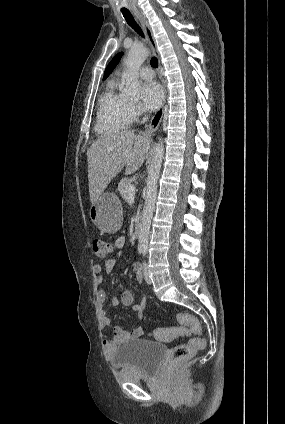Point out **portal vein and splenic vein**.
Returning <instances> with one entry per match:
<instances>
[{
	"mask_svg": "<svg viewBox=\"0 0 285 424\" xmlns=\"http://www.w3.org/2000/svg\"><path fill=\"white\" fill-rule=\"evenodd\" d=\"M136 188L134 185H131L128 189L129 197L132 198L135 195Z\"/></svg>",
	"mask_w": 285,
	"mask_h": 424,
	"instance_id": "portal-vein-and-splenic-vein-1",
	"label": "portal vein and splenic vein"
}]
</instances>
